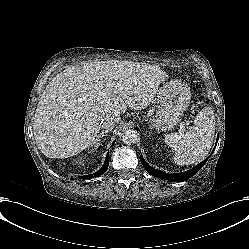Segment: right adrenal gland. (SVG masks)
Here are the masks:
<instances>
[{
	"label": "right adrenal gland",
	"mask_w": 249,
	"mask_h": 249,
	"mask_svg": "<svg viewBox=\"0 0 249 249\" xmlns=\"http://www.w3.org/2000/svg\"><path fill=\"white\" fill-rule=\"evenodd\" d=\"M104 136H106V134H104V133H100L99 135H98V138H97V140H96V142H95V149H97L99 146H100V144H101V137H104Z\"/></svg>",
	"instance_id": "1"
}]
</instances>
